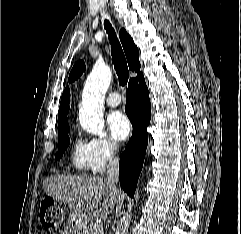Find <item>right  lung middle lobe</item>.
I'll use <instances>...</instances> for the list:
<instances>
[{
  "label": "right lung middle lobe",
  "mask_w": 241,
  "mask_h": 234,
  "mask_svg": "<svg viewBox=\"0 0 241 234\" xmlns=\"http://www.w3.org/2000/svg\"><path fill=\"white\" fill-rule=\"evenodd\" d=\"M69 130L70 128L67 127L58 131L59 148H58V152L55 155V160H59L62 157L63 153L65 152V150L69 145L70 139L67 134Z\"/></svg>",
  "instance_id": "dd1d6c3e"
}]
</instances>
